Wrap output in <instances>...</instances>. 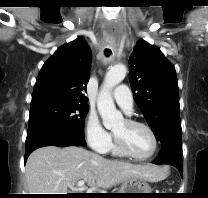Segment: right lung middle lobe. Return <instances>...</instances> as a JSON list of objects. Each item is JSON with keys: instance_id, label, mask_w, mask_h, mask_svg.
<instances>
[{"instance_id": "right-lung-middle-lobe-1", "label": "right lung middle lobe", "mask_w": 208, "mask_h": 198, "mask_svg": "<svg viewBox=\"0 0 208 198\" xmlns=\"http://www.w3.org/2000/svg\"><path fill=\"white\" fill-rule=\"evenodd\" d=\"M86 103L74 101L49 102L31 107L27 135L47 128L67 129L84 137Z\"/></svg>"}]
</instances>
